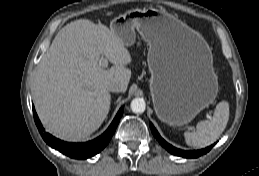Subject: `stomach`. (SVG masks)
Returning a JSON list of instances; mask_svg holds the SVG:
<instances>
[{"instance_id":"0dacf381","label":"stomach","mask_w":259,"mask_h":176,"mask_svg":"<svg viewBox=\"0 0 259 176\" xmlns=\"http://www.w3.org/2000/svg\"><path fill=\"white\" fill-rule=\"evenodd\" d=\"M110 29L125 46L137 31L148 43L150 91L160 120L182 126L212 104L217 77L202 39L173 15L156 8L131 9L115 17Z\"/></svg>"}]
</instances>
